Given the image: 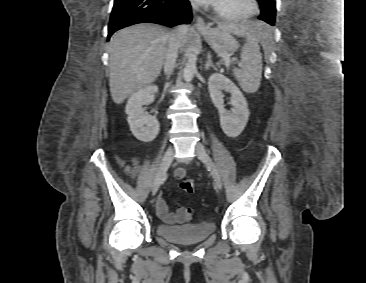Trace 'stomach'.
I'll return each mask as SVG.
<instances>
[{"label": "stomach", "mask_w": 366, "mask_h": 283, "mask_svg": "<svg viewBox=\"0 0 366 283\" xmlns=\"http://www.w3.org/2000/svg\"><path fill=\"white\" fill-rule=\"evenodd\" d=\"M200 35L219 55H226L235 52L239 45L232 34L219 27L209 28L206 31H200Z\"/></svg>", "instance_id": "stomach-1"}]
</instances>
